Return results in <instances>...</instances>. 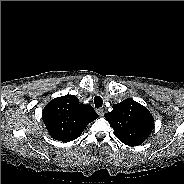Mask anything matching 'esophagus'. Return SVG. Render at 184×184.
Wrapping results in <instances>:
<instances>
[{
	"label": "esophagus",
	"mask_w": 184,
	"mask_h": 184,
	"mask_svg": "<svg viewBox=\"0 0 184 184\" xmlns=\"http://www.w3.org/2000/svg\"><path fill=\"white\" fill-rule=\"evenodd\" d=\"M96 111L99 114V116H103L104 115V109L103 108H98Z\"/></svg>",
	"instance_id": "esophagus-1"
}]
</instances>
